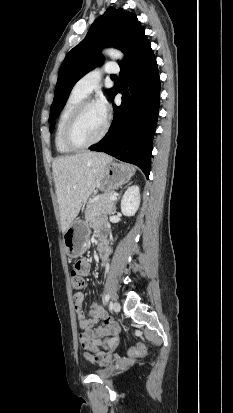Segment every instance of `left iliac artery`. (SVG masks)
Segmentation results:
<instances>
[{"label":"left iliac artery","mask_w":233,"mask_h":413,"mask_svg":"<svg viewBox=\"0 0 233 413\" xmlns=\"http://www.w3.org/2000/svg\"><path fill=\"white\" fill-rule=\"evenodd\" d=\"M109 299H110L109 294H106L105 297H104V302L107 303L109 301Z\"/></svg>","instance_id":"left-iliac-artery-1"}]
</instances>
